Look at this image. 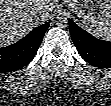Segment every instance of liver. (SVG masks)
Here are the masks:
<instances>
[{
	"instance_id": "1",
	"label": "liver",
	"mask_w": 111,
	"mask_h": 106,
	"mask_svg": "<svg viewBox=\"0 0 111 106\" xmlns=\"http://www.w3.org/2000/svg\"><path fill=\"white\" fill-rule=\"evenodd\" d=\"M57 3V0H1L0 45H10L46 22Z\"/></svg>"
}]
</instances>
